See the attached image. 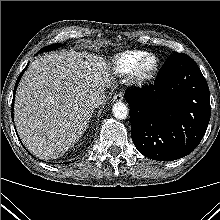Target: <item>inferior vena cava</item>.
<instances>
[{
	"label": "inferior vena cava",
	"mask_w": 220,
	"mask_h": 220,
	"mask_svg": "<svg viewBox=\"0 0 220 220\" xmlns=\"http://www.w3.org/2000/svg\"><path fill=\"white\" fill-rule=\"evenodd\" d=\"M104 96L99 93H94L90 96L89 104L92 108H97L103 103Z\"/></svg>",
	"instance_id": "1"
}]
</instances>
